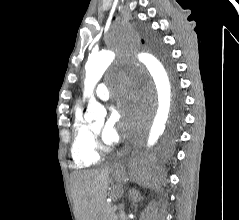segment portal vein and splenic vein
<instances>
[{"label": "portal vein and splenic vein", "instance_id": "obj_1", "mask_svg": "<svg viewBox=\"0 0 239 220\" xmlns=\"http://www.w3.org/2000/svg\"><path fill=\"white\" fill-rule=\"evenodd\" d=\"M113 209H114V211H116L117 210V205H114Z\"/></svg>", "mask_w": 239, "mask_h": 220}]
</instances>
